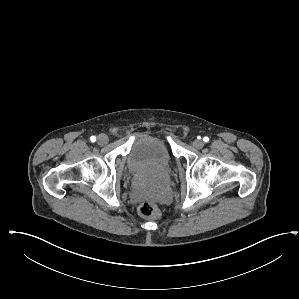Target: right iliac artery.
Wrapping results in <instances>:
<instances>
[{"label": "right iliac artery", "mask_w": 299, "mask_h": 299, "mask_svg": "<svg viewBox=\"0 0 299 299\" xmlns=\"http://www.w3.org/2000/svg\"><path fill=\"white\" fill-rule=\"evenodd\" d=\"M90 140H91V142H95L96 141V137L95 136H91Z\"/></svg>", "instance_id": "82829eb1"}]
</instances>
